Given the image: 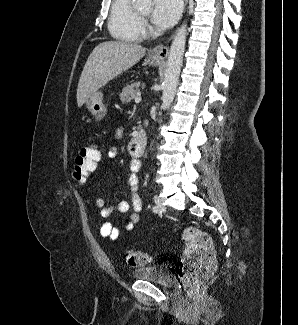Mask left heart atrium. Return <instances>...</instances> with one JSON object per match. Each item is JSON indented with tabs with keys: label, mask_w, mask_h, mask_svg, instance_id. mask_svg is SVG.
Masks as SVG:
<instances>
[{
	"label": "left heart atrium",
	"mask_w": 298,
	"mask_h": 325,
	"mask_svg": "<svg viewBox=\"0 0 298 325\" xmlns=\"http://www.w3.org/2000/svg\"><path fill=\"white\" fill-rule=\"evenodd\" d=\"M181 10V0H154L150 17L155 26L168 29L176 23Z\"/></svg>",
	"instance_id": "39dd6f15"
}]
</instances>
